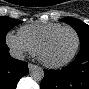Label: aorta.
<instances>
[{"label": "aorta", "instance_id": "aorta-1", "mask_svg": "<svg viewBox=\"0 0 89 89\" xmlns=\"http://www.w3.org/2000/svg\"><path fill=\"white\" fill-rule=\"evenodd\" d=\"M30 77L32 80L34 81H42L43 78H44V71L41 67L39 66H33L31 69H30Z\"/></svg>", "mask_w": 89, "mask_h": 89}]
</instances>
